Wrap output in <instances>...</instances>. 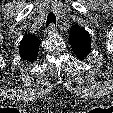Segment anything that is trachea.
I'll return each instance as SVG.
<instances>
[{"mask_svg":"<svg viewBox=\"0 0 113 113\" xmlns=\"http://www.w3.org/2000/svg\"><path fill=\"white\" fill-rule=\"evenodd\" d=\"M50 24H56V16L53 12H50L47 16L46 26L48 27Z\"/></svg>","mask_w":113,"mask_h":113,"instance_id":"3493384b","label":"trachea"}]
</instances>
